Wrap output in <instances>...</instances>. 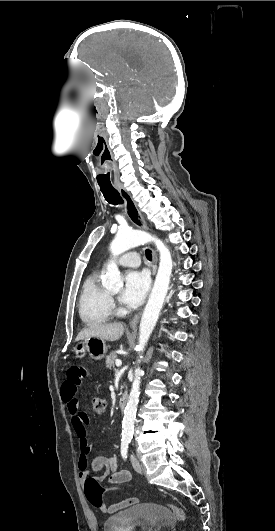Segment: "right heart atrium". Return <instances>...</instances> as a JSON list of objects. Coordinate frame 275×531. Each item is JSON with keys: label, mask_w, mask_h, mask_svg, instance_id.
<instances>
[{"label": "right heart atrium", "mask_w": 275, "mask_h": 531, "mask_svg": "<svg viewBox=\"0 0 275 531\" xmlns=\"http://www.w3.org/2000/svg\"><path fill=\"white\" fill-rule=\"evenodd\" d=\"M111 306L114 307L115 306V302L113 299H111Z\"/></svg>", "instance_id": "obj_1"}]
</instances>
